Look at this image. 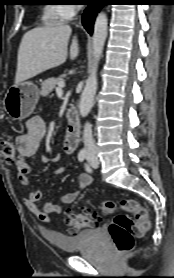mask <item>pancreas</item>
<instances>
[{
  "instance_id": "pancreas-1",
  "label": "pancreas",
  "mask_w": 174,
  "mask_h": 278,
  "mask_svg": "<svg viewBox=\"0 0 174 278\" xmlns=\"http://www.w3.org/2000/svg\"><path fill=\"white\" fill-rule=\"evenodd\" d=\"M61 82V79H56V78H50L42 82L41 84V91L40 95L41 96H47L50 92L53 91V89L56 87V85Z\"/></svg>"
}]
</instances>
